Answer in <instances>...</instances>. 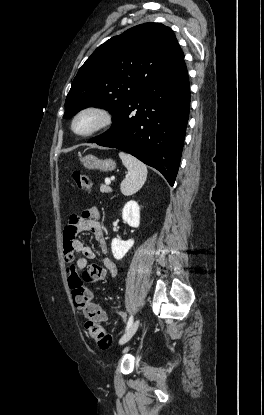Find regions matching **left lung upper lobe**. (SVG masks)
I'll return each instance as SVG.
<instances>
[{"label": "left lung upper lobe", "instance_id": "obj_1", "mask_svg": "<svg viewBox=\"0 0 264 415\" xmlns=\"http://www.w3.org/2000/svg\"><path fill=\"white\" fill-rule=\"evenodd\" d=\"M184 54L171 28L137 25L99 46L75 76L65 101L64 118L88 106L116 117L141 90L178 65Z\"/></svg>", "mask_w": 264, "mask_h": 415}]
</instances>
